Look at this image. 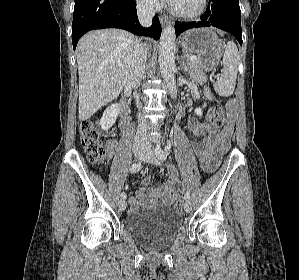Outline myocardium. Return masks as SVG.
<instances>
[{
    "label": "myocardium",
    "instance_id": "myocardium-1",
    "mask_svg": "<svg viewBox=\"0 0 299 280\" xmlns=\"http://www.w3.org/2000/svg\"><path fill=\"white\" fill-rule=\"evenodd\" d=\"M207 4H208V0H200L199 7L193 12L180 11V10L176 9L172 4H170L169 10L173 15H175L179 18L195 19V18H198L199 16H201L205 12V10L207 8Z\"/></svg>",
    "mask_w": 299,
    "mask_h": 280
}]
</instances>
